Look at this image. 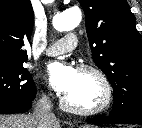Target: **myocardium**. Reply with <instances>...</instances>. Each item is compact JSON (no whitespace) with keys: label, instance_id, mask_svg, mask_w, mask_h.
Returning <instances> with one entry per match:
<instances>
[{"label":"myocardium","instance_id":"obj_1","mask_svg":"<svg viewBox=\"0 0 142 128\" xmlns=\"http://www.w3.org/2000/svg\"><path fill=\"white\" fill-rule=\"evenodd\" d=\"M79 72L93 75L101 84L103 95L101 101L93 107H80L71 103L66 97L62 99L63 107L80 115H96L107 110L113 101V88L106 74L96 66L82 64L78 68Z\"/></svg>","mask_w":142,"mask_h":128}]
</instances>
